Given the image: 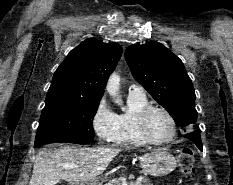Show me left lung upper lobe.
Returning <instances> with one entry per match:
<instances>
[{
	"instance_id": "5c2ea615",
	"label": "left lung upper lobe",
	"mask_w": 233,
	"mask_h": 185,
	"mask_svg": "<svg viewBox=\"0 0 233 185\" xmlns=\"http://www.w3.org/2000/svg\"><path fill=\"white\" fill-rule=\"evenodd\" d=\"M125 58L133 74L182 129L197 120L195 92L182 61L158 42L131 45Z\"/></svg>"
}]
</instances>
